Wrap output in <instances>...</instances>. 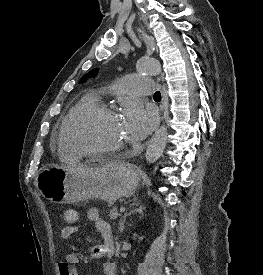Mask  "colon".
I'll list each match as a JSON object with an SVG mask.
<instances>
[{
    "label": "colon",
    "mask_w": 263,
    "mask_h": 275,
    "mask_svg": "<svg viewBox=\"0 0 263 275\" xmlns=\"http://www.w3.org/2000/svg\"><path fill=\"white\" fill-rule=\"evenodd\" d=\"M63 219L66 223H68L70 225L76 224L78 221V213L74 209H70V208L66 209L63 212ZM65 273H66V269L63 268L61 275L65 274Z\"/></svg>",
    "instance_id": "1"
}]
</instances>
